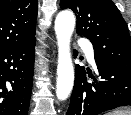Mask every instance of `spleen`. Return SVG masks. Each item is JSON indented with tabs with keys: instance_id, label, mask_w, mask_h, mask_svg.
Listing matches in <instances>:
<instances>
[{
	"instance_id": "obj_1",
	"label": "spleen",
	"mask_w": 131,
	"mask_h": 115,
	"mask_svg": "<svg viewBox=\"0 0 131 115\" xmlns=\"http://www.w3.org/2000/svg\"><path fill=\"white\" fill-rule=\"evenodd\" d=\"M108 115H131V111H127V110H115L112 113L108 114Z\"/></svg>"
}]
</instances>
